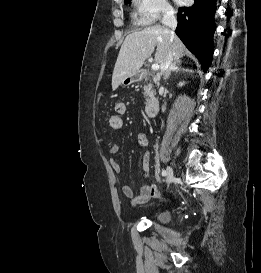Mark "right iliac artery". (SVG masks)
Segmentation results:
<instances>
[{"mask_svg": "<svg viewBox=\"0 0 261 273\" xmlns=\"http://www.w3.org/2000/svg\"><path fill=\"white\" fill-rule=\"evenodd\" d=\"M162 176H166V170L162 171Z\"/></svg>", "mask_w": 261, "mask_h": 273, "instance_id": "right-iliac-artery-1", "label": "right iliac artery"}]
</instances>
